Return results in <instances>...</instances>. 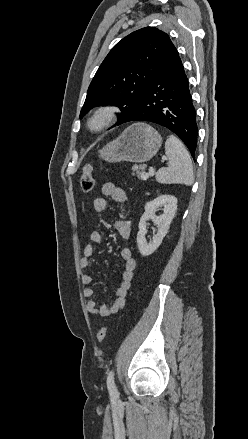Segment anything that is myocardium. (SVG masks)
<instances>
[{
    "label": "myocardium",
    "instance_id": "1",
    "mask_svg": "<svg viewBox=\"0 0 248 439\" xmlns=\"http://www.w3.org/2000/svg\"><path fill=\"white\" fill-rule=\"evenodd\" d=\"M117 119V110L110 106L96 108L88 117L86 127L91 133H100L109 128Z\"/></svg>",
    "mask_w": 248,
    "mask_h": 439
}]
</instances>
